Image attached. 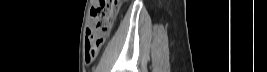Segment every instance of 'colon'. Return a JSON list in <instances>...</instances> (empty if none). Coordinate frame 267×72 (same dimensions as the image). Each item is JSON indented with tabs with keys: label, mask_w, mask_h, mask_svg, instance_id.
I'll return each mask as SVG.
<instances>
[{
	"label": "colon",
	"mask_w": 267,
	"mask_h": 72,
	"mask_svg": "<svg viewBox=\"0 0 267 72\" xmlns=\"http://www.w3.org/2000/svg\"><path fill=\"white\" fill-rule=\"evenodd\" d=\"M120 3V0L96 1L92 11L94 24L86 32V51L89 56L98 54L111 29Z\"/></svg>",
	"instance_id": "obj_1"
}]
</instances>
